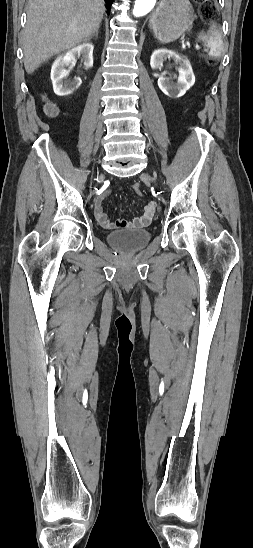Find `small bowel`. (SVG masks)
Instances as JSON below:
<instances>
[{
    "label": "small bowel",
    "mask_w": 253,
    "mask_h": 548,
    "mask_svg": "<svg viewBox=\"0 0 253 548\" xmlns=\"http://www.w3.org/2000/svg\"><path fill=\"white\" fill-rule=\"evenodd\" d=\"M109 195V191L102 193L94 202V213L97 221L101 226L107 229L112 228H138L147 226L156 211V203L149 202L145 205L143 213L140 216L135 217L132 221L125 219H117L110 221L103 208L104 199Z\"/></svg>",
    "instance_id": "c3829d8e"
}]
</instances>
